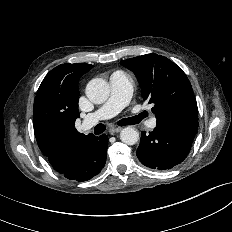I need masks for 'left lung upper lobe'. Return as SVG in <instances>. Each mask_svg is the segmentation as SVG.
<instances>
[{
  "label": "left lung upper lobe",
  "mask_w": 232,
  "mask_h": 232,
  "mask_svg": "<svg viewBox=\"0 0 232 232\" xmlns=\"http://www.w3.org/2000/svg\"><path fill=\"white\" fill-rule=\"evenodd\" d=\"M133 71L142 96L152 104L157 121H198L196 99L186 74L168 58L147 54L120 62Z\"/></svg>",
  "instance_id": "5c2ea615"
}]
</instances>
